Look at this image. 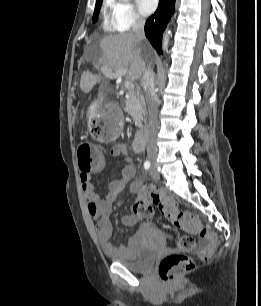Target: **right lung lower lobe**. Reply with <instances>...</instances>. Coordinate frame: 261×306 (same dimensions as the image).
Listing matches in <instances>:
<instances>
[{
    "instance_id": "obj_1",
    "label": "right lung lower lobe",
    "mask_w": 261,
    "mask_h": 306,
    "mask_svg": "<svg viewBox=\"0 0 261 306\" xmlns=\"http://www.w3.org/2000/svg\"><path fill=\"white\" fill-rule=\"evenodd\" d=\"M175 9V0H160L156 12L146 21L145 35L156 51L161 54L162 33Z\"/></svg>"
}]
</instances>
